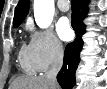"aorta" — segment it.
Instances as JSON below:
<instances>
[{"label": "aorta", "mask_w": 107, "mask_h": 89, "mask_svg": "<svg viewBox=\"0 0 107 89\" xmlns=\"http://www.w3.org/2000/svg\"><path fill=\"white\" fill-rule=\"evenodd\" d=\"M54 16V0H34V17L40 28L51 25Z\"/></svg>", "instance_id": "aorta-1"}]
</instances>
